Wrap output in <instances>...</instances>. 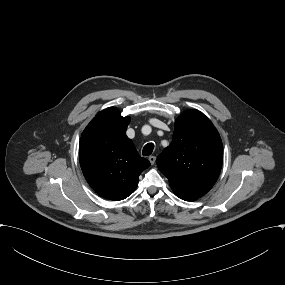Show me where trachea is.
Segmentation results:
<instances>
[{"label": "trachea", "mask_w": 285, "mask_h": 285, "mask_svg": "<svg viewBox=\"0 0 285 285\" xmlns=\"http://www.w3.org/2000/svg\"><path fill=\"white\" fill-rule=\"evenodd\" d=\"M153 150H154V144L153 143H148V144H146L144 146L142 154L144 156H149V155L152 154Z\"/></svg>", "instance_id": "obj_1"}]
</instances>
